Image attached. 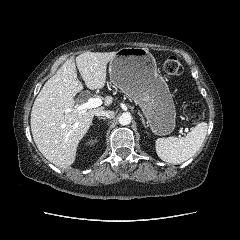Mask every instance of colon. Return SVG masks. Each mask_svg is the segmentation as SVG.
<instances>
[{"mask_svg": "<svg viewBox=\"0 0 240 240\" xmlns=\"http://www.w3.org/2000/svg\"><path fill=\"white\" fill-rule=\"evenodd\" d=\"M163 72L168 77H177L183 73V67L176 57L170 56L163 63ZM182 112L188 121L196 123L204 116V106L196 101L186 102L182 106Z\"/></svg>", "mask_w": 240, "mask_h": 240, "instance_id": "obj_1", "label": "colon"}]
</instances>
